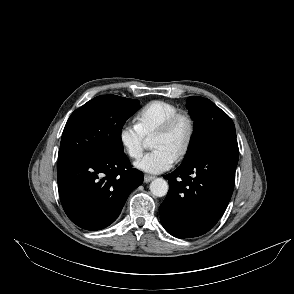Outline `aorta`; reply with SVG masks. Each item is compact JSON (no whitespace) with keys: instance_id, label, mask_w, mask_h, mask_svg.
<instances>
[{"instance_id":"obj_1","label":"aorta","mask_w":294,"mask_h":294,"mask_svg":"<svg viewBox=\"0 0 294 294\" xmlns=\"http://www.w3.org/2000/svg\"><path fill=\"white\" fill-rule=\"evenodd\" d=\"M169 189L168 183L163 178H157L150 184V191L157 197H163Z\"/></svg>"}]
</instances>
